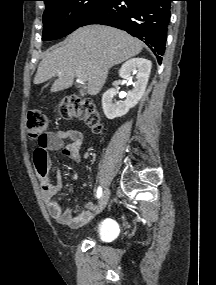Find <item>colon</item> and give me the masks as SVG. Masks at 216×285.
I'll return each instance as SVG.
<instances>
[{"label":"colon","instance_id":"1","mask_svg":"<svg viewBox=\"0 0 216 285\" xmlns=\"http://www.w3.org/2000/svg\"><path fill=\"white\" fill-rule=\"evenodd\" d=\"M57 112L60 117L65 119L74 116L83 118L96 132L102 128L95 105L89 100H65L59 105ZM48 125V118L42 111L28 112L27 132L37 144V148L43 149L47 144Z\"/></svg>","mask_w":216,"mask_h":285}]
</instances>
